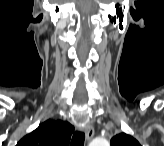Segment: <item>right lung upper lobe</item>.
Instances as JSON below:
<instances>
[{"label": "right lung upper lobe", "mask_w": 164, "mask_h": 146, "mask_svg": "<svg viewBox=\"0 0 164 146\" xmlns=\"http://www.w3.org/2000/svg\"><path fill=\"white\" fill-rule=\"evenodd\" d=\"M73 130L68 122L47 120L23 137L17 146H68Z\"/></svg>", "instance_id": "right-lung-upper-lobe-1"}]
</instances>
